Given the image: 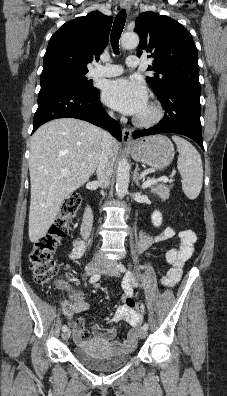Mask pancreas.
I'll use <instances>...</instances> for the list:
<instances>
[{
    "instance_id": "obj_1",
    "label": "pancreas",
    "mask_w": 227,
    "mask_h": 396,
    "mask_svg": "<svg viewBox=\"0 0 227 396\" xmlns=\"http://www.w3.org/2000/svg\"><path fill=\"white\" fill-rule=\"evenodd\" d=\"M169 182L172 183V181ZM170 188L171 186L154 183L151 185V192L158 195L162 200H167L170 196Z\"/></svg>"
}]
</instances>
